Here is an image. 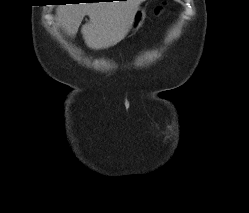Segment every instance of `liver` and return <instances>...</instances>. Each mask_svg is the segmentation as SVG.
Listing matches in <instances>:
<instances>
[{
	"label": "liver",
	"instance_id": "liver-1",
	"mask_svg": "<svg viewBox=\"0 0 249 213\" xmlns=\"http://www.w3.org/2000/svg\"><path fill=\"white\" fill-rule=\"evenodd\" d=\"M144 1L65 4L57 7L56 14L59 24L71 36L76 35L84 16L88 15L89 22L81 28L86 45L94 50L108 49L125 38Z\"/></svg>",
	"mask_w": 249,
	"mask_h": 213
}]
</instances>
